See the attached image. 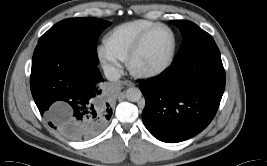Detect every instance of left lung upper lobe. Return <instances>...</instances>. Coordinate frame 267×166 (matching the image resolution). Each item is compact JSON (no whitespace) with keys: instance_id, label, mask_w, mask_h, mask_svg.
Here are the masks:
<instances>
[{"instance_id":"obj_1","label":"left lung upper lobe","mask_w":267,"mask_h":166,"mask_svg":"<svg viewBox=\"0 0 267 166\" xmlns=\"http://www.w3.org/2000/svg\"><path fill=\"white\" fill-rule=\"evenodd\" d=\"M172 23L180 29L183 35V42L175 61L184 59L205 45L215 44L210 34L191 21L175 20Z\"/></svg>"}]
</instances>
